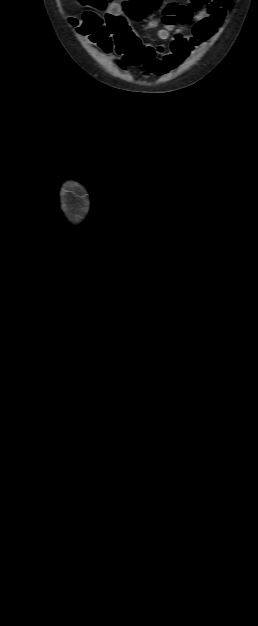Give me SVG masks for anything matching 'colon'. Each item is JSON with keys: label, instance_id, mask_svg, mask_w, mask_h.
Masks as SVG:
<instances>
[{"label": "colon", "instance_id": "5ec220e1", "mask_svg": "<svg viewBox=\"0 0 258 626\" xmlns=\"http://www.w3.org/2000/svg\"><path fill=\"white\" fill-rule=\"evenodd\" d=\"M77 2L92 9L105 10L111 7L115 0H77ZM159 4L160 0H127L124 2V6L129 9L134 18H140L155 10ZM74 21L77 22L75 19ZM79 30L89 36L93 42L98 43L104 50L108 49V33L103 26L101 18L94 10L86 11L83 14ZM140 57L139 54L136 58L137 62L140 60Z\"/></svg>", "mask_w": 258, "mask_h": 626}]
</instances>
